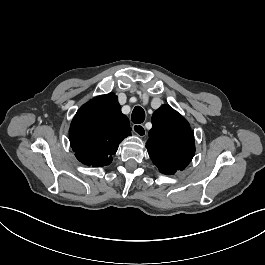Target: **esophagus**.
<instances>
[{"instance_id":"esophagus-1","label":"esophagus","mask_w":265,"mask_h":265,"mask_svg":"<svg viewBox=\"0 0 265 265\" xmlns=\"http://www.w3.org/2000/svg\"><path fill=\"white\" fill-rule=\"evenodd\" d=\"M132 130L139 137L146 136V129H145V127L142 124H134L132 126Z\"/></svg>"}]
</instances>
